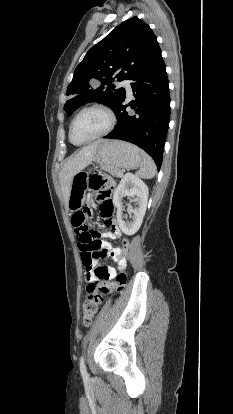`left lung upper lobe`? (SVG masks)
Returning a JSON list of instances; mask_svg holds the SVG:
<instances>
[{"label":"left lung upper lobe","instance_id":"left-lung-upper-lobe-1","mask_svg":"<svg viewBox=\"0 0 233 414\" xmlns=\"http://www.w3.org/2000/svg\"><path fill=\"white\" fill-rule=\"evenodd\" d=\"M158 51L157 38L148 24L137 17L124 21L89 49L76 67L67 88L71 99L64 106L65 112L70 115L92 100L115 111L125 96V89L116 87L114 78L132 80Z\"/></svg>","mask_w":233,"mask_h":414}]
</instances>
